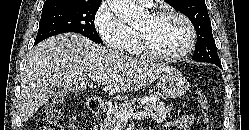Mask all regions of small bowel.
Here are the masks:
<instances>
[{
  "instance_id": "c3829d8e",
  "label": "small bowel",
  "mask_w": 249,
  "mask_h": 130,
  "mask_svg": "<svg viewBox=\"0 0 249 130\" xmlns=\"http://www.w3.org/2000/svg\"><path fill=\"white\" fill-rule=\"evenodd\" d=\"M194 123L192 115L185 114L180 116L174 122L170 123L169 126L178 130H191ZM71 130H77L75 127H71Z\"/></svg>"
}]
</instances>
